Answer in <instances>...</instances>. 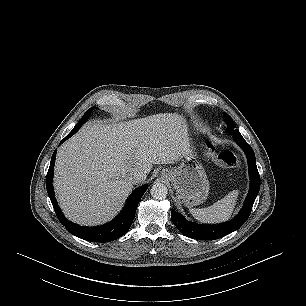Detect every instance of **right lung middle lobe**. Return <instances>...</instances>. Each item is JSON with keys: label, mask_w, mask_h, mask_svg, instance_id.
Returning <instances> with one entry per match:
<instances>
[{"label": "right lung middle lobe", "mask_w": 306, "mask_h": 306, "mask_svg": "<svg viewBox=\"0 0 306 306\" xmlns=\"http://www.w3.org/2000/svg\"><path fill=\"white\" fill-rule=\"evenodd\" d=\"M94 107L90 108L84 115L83 117L80 119V121L76 124V126L73 128V130L70 133H75L77 132L80 127L86 122V120L88 119V116L90 115L91 111L93 110Z\"/></svg>", "instance_id": "1"}]
</instances>
